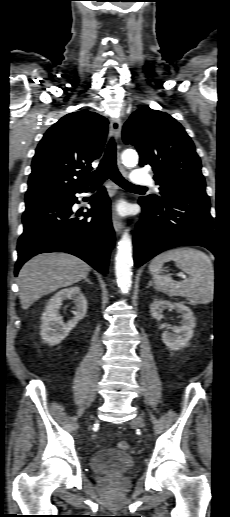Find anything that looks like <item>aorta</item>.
Listing matches in <instances>:
<instances>
[{
    "label": "aorta",
    "mask_w": 230,
    "mask_h": 517,
    "mask_svg": "<svg viewBox=\"0 0 230 517\" xmlns=\"http://www.w3.org/2000/svg\"><path fill=\"white\" fill-rule=\"evenodd\" d=\"M122 162L126 167H134L138 163V154L134 150H124L121 154ZM132 240L125 230L117 246L115 258V274L119 288L127 293L132 285Z\"/></svg>",
    "instance_id": "762f6f07"
}]
</instances>
